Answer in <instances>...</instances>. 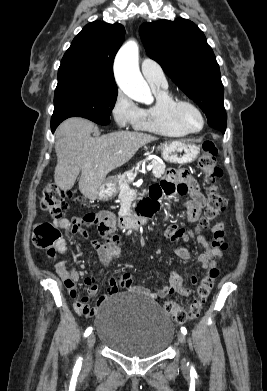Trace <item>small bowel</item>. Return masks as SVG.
Returning <instances> with one entry per match:
<instances>
[{
  "instance_id": "c3829d8e",
  "label": "small bowel",
  "mask_w": 267,
  "mask_h": 391,
  "mask_svg": "<svg viewBox=\"0 0 267 391\" xmlns=\"http://www.w3.org/2000/svg\"><path fill=\"white\" fill-rule=\"evenodd\" d=\"M188 194L189 198L185 201L186 216L189 222L199 220L202 209L206 204V199L201 193L198 184L186 170L169 169L163 179L150 188V202L155 207L158 206L162 198L182 196ZM97 220L102 222L100 233L103 236L112 234L116 227V218L113 212L102 210L98 215L87 214L83 217L60 218L56 220V226L65 231H71L80 234L83 237H88L85 226L95 223ZM213 237L207 240L204 236H198L197 242L203 249L197 260L205 273L216 267V260L221 258L223 251L228 247L224 236V224L217 223L212 229ZM165 235L174 241L180 240L186 235V230L175 224L169 225L165 230ZM104 243L98 246V254L100 260L107 266L118 259L122 250L116 238H105ZM56 251L64 255L67 252V243L64 238L57 241L55 246ZM176 255L188 261L191 258L189 251L185 247H178ZM55 270L58 276L63 280L66 288L73 298H77L76 310L84 315H93L96 307L91 304V298L98 292V281L100 277L92 276L84 279L88 294L83 297H78L77 283L80 280V273L67 266L64 260H60L55 265ZM105 273L102 272V275ZM198 281L196 275L191 276V284L195 285ZM122 287L128 291L141 293L152 300L165 298L170 294H179L188 296L191 294V289L186 285L183 277L177 271H173L169 277L167 285L157 291H151L144 287L132 285L131 275L124 273L118 278H111L107 294L100 297L97 305L102 304L110 295L116 293L118 288Z\"/></svg>"
}]
</instances>
